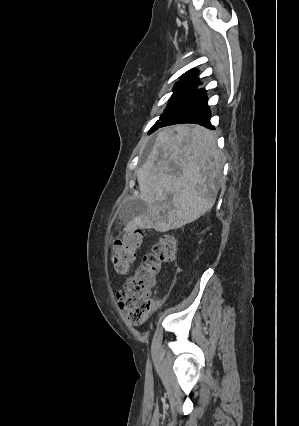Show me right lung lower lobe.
Masks as SVG:
<instances>
[{
  "label": "right lung lower lobe",
  "mask_w": 299,
  "mask_h": 426,
  "mask_svg": "<svg viewBox=\"0 0 299 426\" xmlns=\"http://www.w3.org/2000/svg\"><path fill=\"white\" fill-rule=\"evenodd\" d=\"M178 123H196L213 129L210 123V111L205 89H196L173 106L161 121L152 127L151 132L159 127Z\"/></svg>",
  "instance_id": "98d812e1"
}]
</instances>
